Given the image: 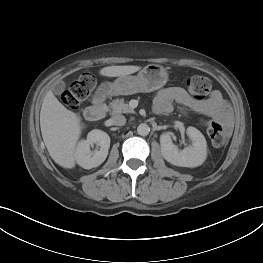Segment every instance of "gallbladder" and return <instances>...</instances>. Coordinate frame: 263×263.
I'll return each mask as SVG.
<instances>
[{
    "instance_id": "bac80fb5",
    "label": "gallbladder",
    "mask_w": 263,
    "mask_h": 263,
    "mask_svg": "<svg viewBox=\"0 0 263 263\" xmlns=\"http://www.w3.org/2000/svg\"><path fill=\"white\" fill-rule=\"evenodd\" d=\"M65 89V83L63 81H56L53 85H52V91L56 94V95H60Z\"/></svg>"
}]
</instances>
